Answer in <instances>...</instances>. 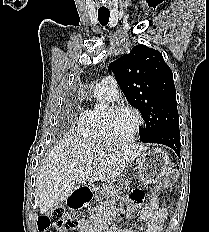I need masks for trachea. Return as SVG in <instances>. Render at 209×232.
<instances>
[{"mask_svg": "<svg viewBox=\"0 0 209 232\" xmlns=\"http://www.w3.org/2000/svg\"><path fill=\"white\" fill-rule=\"evenodd\" d=\"M110 11H98V20L101 25L105 26L109 22Z\"/></svg>", "mask_w": 209, "mask_h": 232, "instance_id": "obj_1", "label": "trachea"}]
</instances>
